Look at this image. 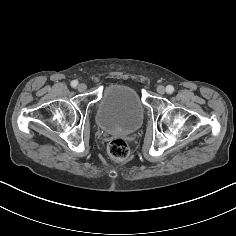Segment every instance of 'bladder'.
<instances>
[{"mask_svg":"<svg viewBox=\"0 0 236 236\" xmlns=\"http://www.w3.org/2000/svg\"><path fill=\"white\" fill-rule=\"evenodd\" d=\"M143 118V106L134 88L120 83L104 88L96 114V124L100 129L133 132L141 126Z\"/></svg>","mask_w":236,"mask_h":236,"instance_id":"bladder-1","label":"bladder"}]
</instances>
